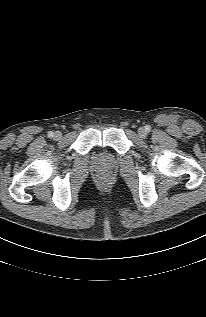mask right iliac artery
<instances>
[{
	"instance_id": "obj_1",
	"label": "right iliac artery",
	"mask_w": 206,
	"mask_h": 317,
	"mask_svg": "<svg viewBox=\"0 0 206 317\" xmlns=\"http://www.w3.org/2000/svg\"><path fill=\"white\" fill-rule=\"evenodd\" d=\"M54 136V133L52 131L48 132V137L52 138Z\"/></svg>"
}]
</instances>
